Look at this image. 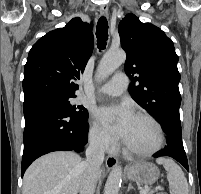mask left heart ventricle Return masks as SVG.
<instances>
[{
  "mask_svg": "<svg viewBox=\"0 0 201 194\" xmlns=\"http://www.w3.org/2000/svg\"><path fill=\"white\" fill-rule=\"evenodd\" d=\"M157 141L158 134L153 124L146 119L134 117L125 142L133 148L149 150Z\"/></svg>",
  "mask_w": 201,
  "mask_h": 194,
  "instance_id": "left-heart-ventricle-1",
  "label": "left heart ventricle"
}]
</instances>
